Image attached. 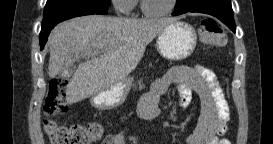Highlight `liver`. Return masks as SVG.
<instances>
[{"instance_id": "6515ba94", "label": "liver", "mask_w": 273, "mask_h": 144, "mask_svg": "<svg viewBox=\"0 0 273 144\" xmlns=\"http://www.w3.org/2000/svg\"><path fill=\"white\" fill-rule=\"evenodd\" d=\"M175 21L88 15L63 22L49 36V77L82 57L86 61L79 64L67 85L66 102L73 104L95 95L125 79L142 59L146 45Z\"/></svg>"}]
</instances>
